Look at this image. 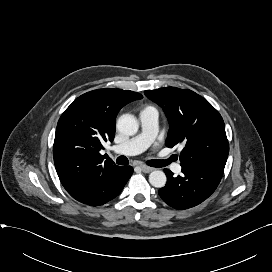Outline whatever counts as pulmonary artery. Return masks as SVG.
<instances>
[{"label":"pulmonary artery","instance_id":"obj_1","mask_svg":"<svg viewBox=\"0 0 272 272\" xmlns=\"http://www.w3.org/2000/svg\"><path fill=\"white\" fill-rule=\"evenodd\" d=\"M141 132L128 141L114 146L112 151L122 155H136L146 150L155 140L158 132V112L153 107H147L139 113ZM172 170L180 173L182 166L174 164Z\"/></svg>","mask_w":272,"mask_h":272}]
</instances>
